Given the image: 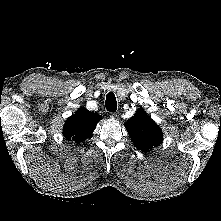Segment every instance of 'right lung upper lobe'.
<instances>
[{
	"label": "right lung upper lobe",
	"mask_w": 221,
	"mask_h": 221,
	"mask_svg": "<svg viewBox=\"0 0 221 221\" xmlns=\"http://www.w3.org/2000/svg\"><path fill=\"white\" fill-rule=\"evenodd\" d=\"M101 119L102 117L97 112H91L82 107L76 114L67 119L63 128V135L68 140H73L79 144L92 137V133Z\"/></svg>",
	"instance_id": "right-lung-upper-lobe-1"
}]
</instances>
